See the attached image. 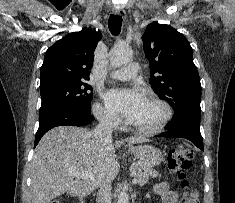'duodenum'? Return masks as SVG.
<instances>
[{
  "label": "duodenum",
  "mask_w": 235,
  "mask_h": 203,
  "mask_svg": "<svg viewBox=\"0 0 235 203\" xmlns=\"http://www.w3.org/2000/svg\"><path fill=\"white\" fill-rule=\"evenodd\" d=\"M79 203H85V199L83 197L79 198Z\"/></svg>",
  "instance_id": "obj_1"
}]
</instances>
